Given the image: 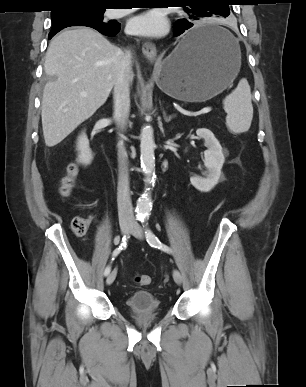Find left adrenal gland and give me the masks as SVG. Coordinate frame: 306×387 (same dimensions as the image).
I'll list each match as a JSON object with an SVG mask.
<instances>
[{
    "label": "left adrenal gland",
    "instance_id": "a2214340",
    "mask_svg": "<svg viewBox=\"0 0 306 387\" xmlns=\"http://www.w3.org/2000/svg\"><path fill=\"white\" fill-rule=\"evenodd\" d=\"M163 117H164L165 122L169 123L173 118L176 117V114H172V115L167 116L165 110L163 109Z\"/></svg>",
    "mask_w": 306,
    "mask_h": 387
}]
</instances>
